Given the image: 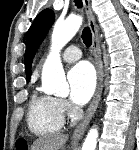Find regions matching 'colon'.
Returning a JSON list of instances; mask_svg holds the SVG:
<instances>
[{"instance_id":"5ec220e1","label":"colon","mask_w":139,"mask_h":150,"mask_svg":"<svg viewBox=\"0 0 139 150\" xmlns=\"http://www.w3.org/2000/svg\"><path fill=\"white\" fill-rule=\"evenodd\" d=\"M16 150H27V144L25 141H17Z\"/></svg>"}]
</instances>
